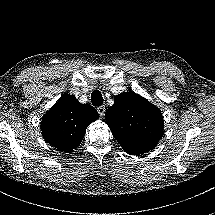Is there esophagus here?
<instances>
[{"instance_id":"34e87169","label":"esophagus","mask_w":215,"mask_h":215,"mask_svg":"<svg viewBox=\"0 0 215 215\" xmlns=\"http://www.w3.org/2000/svg\"><path fill=\"white\" fill-rule=\"evenodd\" d=\"M97 111H98L100 116H104L106 108H105V106H100L97 108Z\"/></svg>"}]
</instances>
